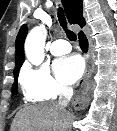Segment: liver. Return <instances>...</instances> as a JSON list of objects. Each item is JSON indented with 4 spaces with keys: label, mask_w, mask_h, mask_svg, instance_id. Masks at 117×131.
<instances>
[{
    "label": "liver",
    "mask_w": 117,
    "mask_h": 131,
    "mask_svg": "<svg viewBox=\"0 0 117 131\" xmlns=\"http://www.w3.org/2000/svg\"><path fill=\"white\" fill-rule=\"evenodd\" d=\"M71 114L57 103L26 106L15 116L11 131H67Z\"/></svg>",
    "instance_id": "1"
}]
</instances>
